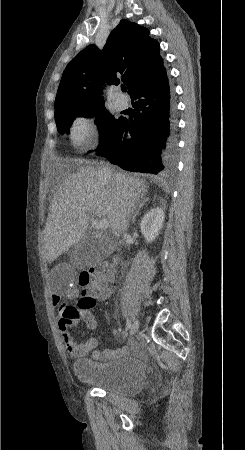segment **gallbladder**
<instances>
[{"label": "gallbladder", "mask_w": 245, "mask_h": 450, "mask_svg": "<svg viewBox=\"0 0 245 450\" xmlns=\"http://www.w3.org/2000/svg\"><path fill=\"white\" fill-rule=\"evenodd\" d=\"M110 254L108 246L95 239L83 240L69 253L72 266L83 268L88 264L105 259Z\"/></svg>", "instance_id": "gallbladder-1"}]
</instances>
